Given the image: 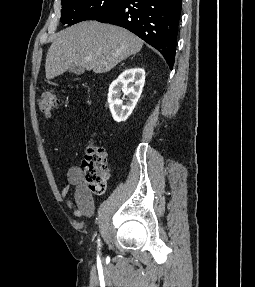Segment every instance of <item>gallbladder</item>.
<instances>
[{
	"label": "gallbladder",
	"instance_id": "bac80fb5",
	"mask_svg": "<svg viewBox=\"0 0 255 287\" xmlns=\"http://www.w3.org/2000/svg\"><path fill=\"white\" fill-rule=\"evenodd\" d=\"M68 72H74V74H84V68H78V66H70Z\"/></svg>",
	"mask_w": 255,
	"mask_h": 287
}]
</instances>
